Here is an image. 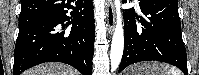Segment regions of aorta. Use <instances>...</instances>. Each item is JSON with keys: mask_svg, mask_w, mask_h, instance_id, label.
<instances>
[{"mask_svg": "<svg viewBox=\"0 0 199 75\" xmlns=\"http://www.w3.org/2000/svg\"><path fill=\"white\" fill-rule=\"evenodd\" d=\"M116 7V27L114 31V35L112 38L111 44V52H110V61H111V69L116 70L120 64L123 48H124V31L122 25V15L120 11V0H115L114 2Z\"/></svg>", "mask_w": 199, "mask_h": 75, "instance_id": "aorta-1", "label": "aorta"}]
</instances>
